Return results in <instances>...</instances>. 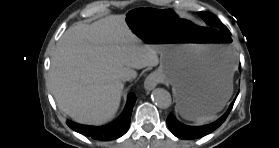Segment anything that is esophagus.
Instances as JSON below:
<instances>
[{
    "mask_svg": "<svg viewBox=\"0 0 279 148\" xmlns=\"http://www.w3.org/2000/svg\"><path fill=\"white\" fill-rule=\"evenodd\" d=\"M160 76L157 73H151L144 82V88L146 91H151L160 82Z\"/></svg>",
    "mask_w": 279,
    "mask_h": 148,
    "instance_id": "34e87169",
    "label": "esophagus"
}]
</instances>
